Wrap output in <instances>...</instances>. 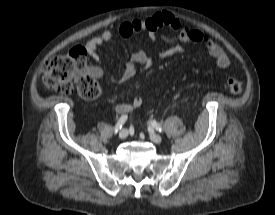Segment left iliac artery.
<instances>
[{
  "mask_svg": "<svg viewBox=\"0 0 275 215\" xmlns=\"http://www.w3.org/2000/svg\"><path fill=\"white\" fill-rule=\"evenodd\" d=\"M149 126H150L151 128L156 129V130L159 131V132H162V131H163L162 127H161L155 120L150 121V122H149Z\"/></svg>",
  "mask_w": 275,
  "mask_h": 215,
  "instance_id": "left-iliac-artery-1",
  "label": "left iliac artery"
}]
</instances>
